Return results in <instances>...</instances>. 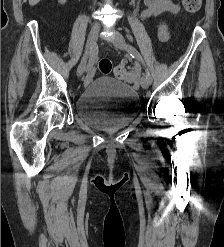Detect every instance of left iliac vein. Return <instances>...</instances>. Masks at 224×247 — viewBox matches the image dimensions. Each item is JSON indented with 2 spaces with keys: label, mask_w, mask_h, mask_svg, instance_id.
Instances as JSON below:
<instances>
[{
  "label": "left iliac vein",
  "mask_w": 224,
  "mask_h": 247,
  "mask_svg": "<svg viewBox=\"0 0 224 247\" xmlns=\"http://www.w3.org/2000/svg\"><path fill=\"white\" fill-rule=\"evenodd\" d=\"M113 44L115 45V47L121 49V50H127V45L125 42L124 37L120 34V33H115L113 39ZM140 84L142 86V88L147 89L150 85L149 81L146 79L145 76H142L140 78Z\"/></svg>",
  "instance_id": "1"
}]
</instances>
